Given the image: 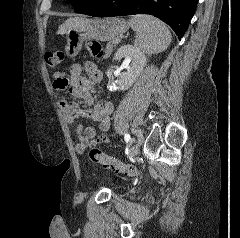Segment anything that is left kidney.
Here are the masks:
<instances>
[{
    "label": "left kidney",
    "instance_id": "1",
    "mask_svg": "<svg viewBox=\"0 0 240 238\" xmlns=\"http://www.w3.org/2000/svg\"><path fill=\"white\" fill-rule=\"evenodd\" d=\"M131 62V66L126 72H122L116 81L112 80V67L108 69L106 75L109 79L108 88L113 90H127L137 79L146 64V56L135 45L121 46L115 53L113 60L120 61L122 58Z\"/></svg>",
    "mask_w": 240,
    "mask_h": 238
}]
</instances>
